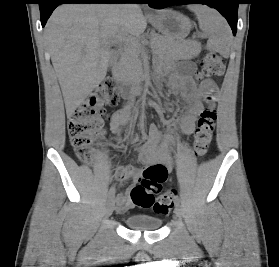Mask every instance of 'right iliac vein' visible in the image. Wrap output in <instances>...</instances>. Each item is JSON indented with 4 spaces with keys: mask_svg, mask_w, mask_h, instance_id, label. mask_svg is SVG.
<instances>
[{
    "mask_svg": "<svg viewBox=\"0 0 279 267\" xmlns=\"http://www.w3.org/2000/svg\"><path fill=\"white\" fill-rule=\"evenodd\" d=\"M113 210H114V199L110 198L108 200V203H107V207H106V211H105V216L109 217L113 213Z\"/></svg>",
    "mask_w": 279,
    "mask_h": 267,
    "instance_id": "63e3f726",
    "label": "right iliac vein"
}]
</instances>
